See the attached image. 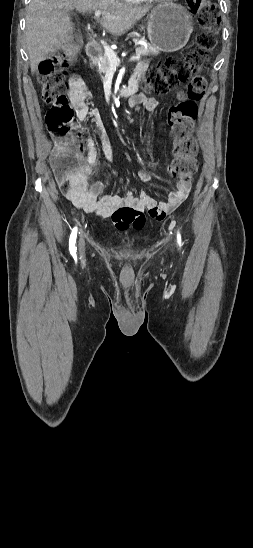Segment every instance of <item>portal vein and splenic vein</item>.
<instances>
[{
    "label": "portal vein and splenic vein",
    "mask_w": 253,
    "mask_h": 548,
    "mask_svg": "<svg viewBox=\"0 0 253 548\" xmlns=\"http://www.w3.org/2000/svg\"><path fill=\"white\" fill-rule=\"evenodd\" d=\"M102 12L99 11V10H96L95 11V17L96 18H99L101 16ZM102 45H103V48H104V51H105V54L108 56V59L110 61V64L111 65H114V66H117L120 64V59L117 57V55L115 54V52L109 47V45H107L106 42L102 41L101 42ZM140 55H134L130 58V61H136V60H139L140 59Z\"/></svg>",
    "instance_id": "18ae733b"
}]
</instances>
